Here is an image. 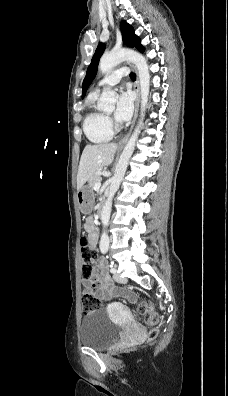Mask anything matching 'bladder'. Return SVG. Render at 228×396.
<instances>
[{
  "mask_svg": "<svg viewBox=\"0 0 228 396\" xmlns=\"http://www.w3.org/2000/svg\"><path fill=\"white\" fill-rule=\"evenodd\" d=\"M121 329L107 317L102 309L86 314L79 330L80 343L95 350H106L120 338Z\"/></svg>",
  "mask_w": 228,
  "mask_h": 396,
  "instance_id": "obj_1",
  "label": "bladder"
}]
</instances>
